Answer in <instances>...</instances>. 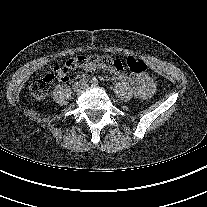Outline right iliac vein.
I'll use <instances>...</instances> for the list:
<instances>
[{
	"label": "right iliac vein",
	"mask_w": 207,
	"mask_h": 207,
	"mask_svg": "<svg viewBox=\"0 0 207 207\" xmlns=\"http://www.w3.org/2000/svg\"><path fill=\"white\" fill-rule=\"evenodd\" d=\"M72 88H73V91H74V92H79L80 89L82 88V84L79 83V82H77V83H75V84L73 85Z\"/></svg>",
	"instance_id": "obj_1"
}]
</instances>
